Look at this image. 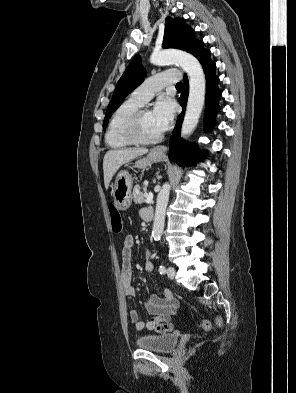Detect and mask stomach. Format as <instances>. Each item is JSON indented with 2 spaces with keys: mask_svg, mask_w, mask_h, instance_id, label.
<instances>
[{
  "mask_svg": "<svg viewBox=\"0 0 296 393\" xmlns=\"http://www.w3.org/2000/svg\"><path fill=\"white\" fill-rule=\"evenodd\" d=\"M164 155L150 152L146 157L140 158L135 162V167L146 169L153 163L161 162ZM133 180L128 171H120L115 179L112 193L114 203L119 210H127L132 202Z\"/></svg>",
  "mask_w": 296,
  "mask_h": 393,
  "instance_id": "obj_1",
  "label": "stomach"
}]
</instances>
